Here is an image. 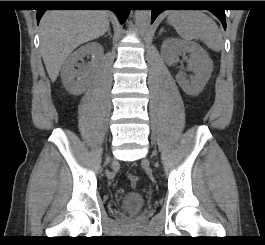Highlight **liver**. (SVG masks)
Returning a JSON list of instances; mask_svg holds the SVG:
<instances>
[{"label":"liver","mask_w":265,"mask_h":245,"mask_svg":"<svg viewBox=\"0 0 265 245\" xmlns=\"http://www.w3.org/2000/svg\"><path fill=\"white\" fill-rule=\"evenodd\" d=\"M109 13L103 10H51L40 21L41 53L52 82L79 45L103 36Z\"/></svg>","instance_id":"6515ba94"}]
</instances>
